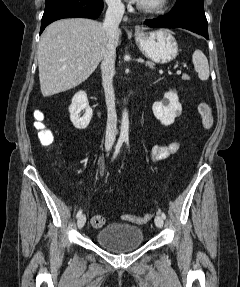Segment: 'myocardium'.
<instances>
[{
  "mask_svg": "<svg viewBox=\"0 0 240 287\" xmlns=\"http://www.w3.org/2000/svg\"><path fill=\"white\" fill-rule=\"evenodd\" d=\"M168 0H157L153 4H145L142 2H139L137 4V7L140 11L148 14H156L161 12L167 5Z\"/></svg>",
  "mask_w": 240,
  "mask_h": 287,
  "instance_id": "1",
  "label": "myocardium"
}]
</instances>
